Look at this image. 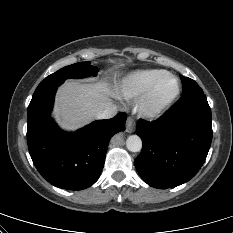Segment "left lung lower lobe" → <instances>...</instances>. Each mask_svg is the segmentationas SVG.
I'll list each match as a JSON object with an SVG mask.
<instances>
[{
  "mask_svg": "<svg viewBox=\"0 0 233 233\" xmlns=\"http://www.w3.org/2000/svg\"><path fill=\"white\" fill-rule=\"evenodd\" d=\"M143 141L134 164L150 186L167 189L193 178L203 165L212 140L211 109L205 94L181 97L159 119H139Z\"/></svg>",
  "mask_w": 233,
  "mask_h": 233,
  "instance_id": "0a47b994",
  "label": "left lung lower lobe"
}]
</instances>
